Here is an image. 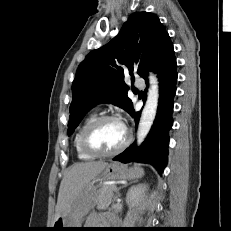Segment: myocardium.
<instances>
[{"label": "myocardium", "mask_w": 231, "mask_h": 231, "mask_svg": "<svg viewBox=\"0 0 231 231\" xmlns=\"http://www.w3.org/2000/svg\"><path fill=\"white\" fill-rule=\"evenodd\" d=\"M106 121H118L121 123L120 119L117 116L114 115H100L95 117L84 129L82 136H81V145L85 152L88 154L94 156V157H110L115 156L119 153H121L130 143L131 141V133L125 128L126 131V137L122 144L117 147L114 150L111 151H99L96 148H94L90 143V136L93 132V130L100 125L103 122Z\"/></svg>", "instance_id": "1"}]
</instances>
